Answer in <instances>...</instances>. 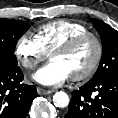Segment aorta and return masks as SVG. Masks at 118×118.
Here are the masks:
<instances>
[{
  "label": "aorta",
  "instance_id": "762f6f07",
  "mask_svg": "<svg viewBox=\"0 0 118 118\" xmlns=\"http://www.w3.org/2000/svg\"><path fill=\"white\" fill-rule=\"evenodd\" d=\"M70 99L67 93L63 91L56 92L53 95V103L56 107L65 108L69 105Z\"/></svg>",
  "mask_w": 118,
  "mask_h": 118
}]
</instances>
